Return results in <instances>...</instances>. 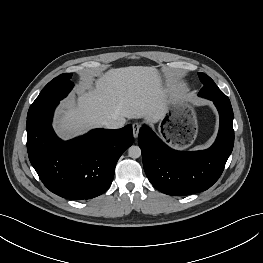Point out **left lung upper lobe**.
<instances>
[{"instance_id":"5c2ea615","label":"left lung upper lobe","mask_w":263,"mask_h":263,"mask_svg":"<svg viewBox=\"0 0 263 263\" xmlns=\"http://www.w3.org/2000/svg\"><path fill=\"white\" fill-rule=\"evenodd\" d=\"M201 82L204 84L199 95L205 98L217 99L218 101L227 102L228 97L217 87L214 81L204 73H198Z\"/></svg>"}]
</instances>
